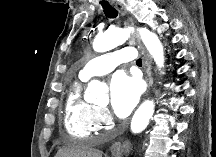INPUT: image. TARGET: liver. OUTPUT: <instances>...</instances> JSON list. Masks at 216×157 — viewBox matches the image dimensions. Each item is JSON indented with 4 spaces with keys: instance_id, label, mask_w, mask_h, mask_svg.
I'll return each mask as SVG.
<instances>
[{
    "instance_id": "6515ba94",
    "label": "liver",
    "mask_w": 216,
    "mask_h": 157,
    "mask_svg": "<svg viewBox=\"0 0 216 157\" xmlns=\"http://www.w3.org/2000/svg\"><path fill=\"white\" fill-rule=\"evenodd\" d=\"M57 157H102V153L83 143L74 142L57 153Z\"/></svg>"
}]
</instances>
